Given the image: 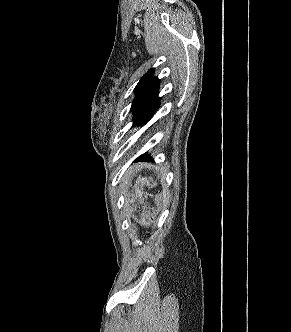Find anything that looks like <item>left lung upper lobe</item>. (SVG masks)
Instances as JSON below:
<instances>
[{"mask_svg": "<svg viewBox=\"0 0 291 332\" xmlns=\"http://www.w3.org/2000/svg\"><path fill=\"white\" fill-rule=\"evenodd\" d=\"M153 74L154 69L152 68L140 79L134 89L135 98L130 109L133 112V126L140 124L146 105L158 95L160 80L153 77Z\"/></svg>", "mask_w": 291, "mask_h": 332, "instance_id": "left-lung-upper-lobe-1", "label": "left lung upper lobe"}]
</instances>
